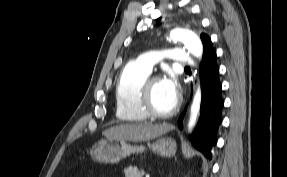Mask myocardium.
Instances as JSON below:
<instances>
[{
  "label": "myocardium",
  "instance_id": "myocardium-1",
  "mask_svg": "<svg viewBox=\"0 0 287 177\" xmlns=\"http://www.w3.org/2000/svg\"><path fill=\"white\" fill-rule=\"evenodd\" d=\"M160 81L159 77H149L143 84L139 95V107L141 111L150 118L163 119L173 116L179 109L180 99L176 98L174 106L166 112H158L154 109L151 100V89L155 82Z\"/></svg>",
  "mask_w": 287,
  "mask_h": 177
}]
</instances>
